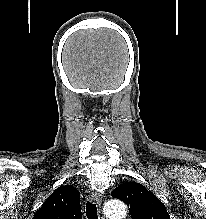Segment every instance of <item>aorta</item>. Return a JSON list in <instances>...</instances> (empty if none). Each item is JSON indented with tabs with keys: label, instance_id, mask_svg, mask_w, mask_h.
I'll list each match as a JSON object with an SVG mask.
<instances>
[{
	"label": "aorta",
	"instance_id": "762f6f07",
	"mask_svg": "<svg viewBox=\"0 0 206 219\" xmlns=\"http://www.w3.org/2000/svg\"><path fill=\"white\" fill-rule=\"evenodd\" d=\"M104 211L109 219H123L127 214V207L120 200H111L105 204Z\"/></svg>",
	"mask_w": 206,
	"mask_h": 219
}]
</instances>
